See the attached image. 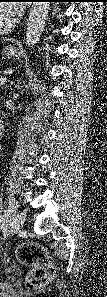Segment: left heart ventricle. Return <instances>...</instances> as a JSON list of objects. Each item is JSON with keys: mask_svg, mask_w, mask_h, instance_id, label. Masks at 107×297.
Listing matches in <instances>:
<instances>
[{"mask_svg": "<svg viewBox=\"0 0 107 297\" xmlns=\"http://www.w3.org/2000/svg\"><path fill=\"white\" fill-rule=\"evenodd\" d=\"M0 6V26L7 25L13 20L10 12V6L6 4H2Z\"/></svg>", "mask_w": 107, "mask_h": 297, "instance_id": "left-heart-ventricle-1", "label": "left heart ventricle"}]
</instances>
